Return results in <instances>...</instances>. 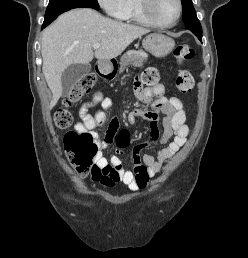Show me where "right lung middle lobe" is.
I'll return each instance as SVG.
<instances>
[{"mask_svg": "<svg viewBox=\"0 0 248 258\" xmlns=\"http://www.w3.org/2000/svg\"><path fill=\"white\" fill-rule=\"evenodd\" d=\"M78 7H90L99 10L97 0H49L45 20L53 19L65 11Z\"/></svg>", "mask_w": 248, "mask_h": 258, "instance_id": "1", "label": "right lung middle lobe"}]
</instances>
